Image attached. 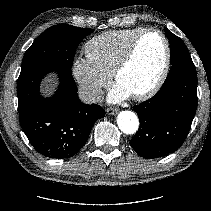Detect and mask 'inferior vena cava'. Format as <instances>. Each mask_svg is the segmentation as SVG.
<instances>
[{
  "label": "inferior vena cava",
  "mask_w": 211,
  "mask_h": 211,
  "mask_svg": "<svg viewBox=\"0 0 211 211\" xmlns=\"http://www.w3.org/2000/svg\"><path fill=\"white\" fill-rule=\"evenodd\" d=\"M103 92L101 89L83 88L79 90V98L83 103L93 104L101 100Z\"/></svg>",
  "instance_id": "obj_1"
}]
</instances>
